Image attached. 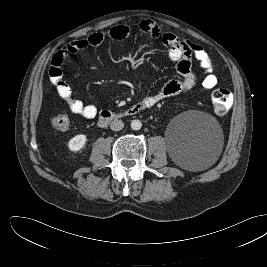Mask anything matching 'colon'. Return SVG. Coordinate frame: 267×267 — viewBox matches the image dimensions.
Listing matches in <instances>:
<instances>
[{
	"label": "colon",
	"instance_id": "colon-1",
	"mask_svg": "<svg viewBox=\"0 0 267 267\" xmlns=\"http://www.w3.org/2000/svg\"><path fill=\"white\" fill-rule=\"evenodd\" d=\"M211 102L214 112L219 116H223L230 110L233 96L229 90L219 88L212 92ZM50 124L59 131H65L70 126V120L65 114H56L51 117Z\"/></svg>",
	"mask_w": 267,
	"mask_h": 267
}]
</instances>
